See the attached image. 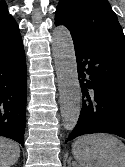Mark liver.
I'll use <instances>...</instances> for the list:
<instances>
[{
	"label": "liver",
	"instance_id": "liver-1",
	"mask_svg": "<svg viewBox=\"0 0 125 167\" xmlns=\"http://www.w3.org/2000/svg\"><path fill=\"white\" fill-rule=\"evenodd\" d=\"M20 156L19 145L4 137H0V167H10Z\"/></svg>",
	"mask_w": 125,
	"mask_h": 167
}]
</instances>
